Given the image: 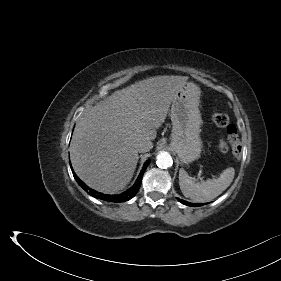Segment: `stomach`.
I'll list each match as a JSON object with an SVG mask.
<instances>
[{
    "mask_svg": "<svg viewBox=\"0 0 281 281\" xmlns=\"http://www.w3.org/2000/svg\"><path fill=\"white\" fill-rule=\"evenodd\" d=\"M200 94V88L196 84L186 82L172 100L170 146L184 164L197 160L202 151Z\"/></svg>",
    "mask_w": 281,
    "mask_h": 281,
    "instance_id": "stomach-1",
    "label": "stomach"
}]
</instances>
